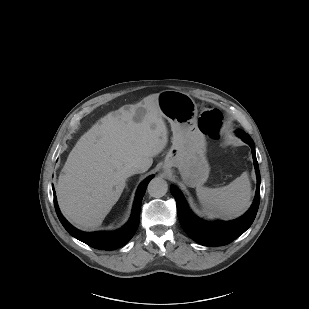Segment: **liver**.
Returning a JSON list of instances; mask_svg holds the SVG:
<instances>
[{
    "instance_id": "obj_1",
    "label": "liver",
    "mask_w": 309,
    "mask_h": 309,
    "mask_svg": "<svg viewBox=\"0 0 309 309\" xmlns=\"http://www.w3.org/2000/svg\"><path fill=\"white\" fill-rule=\"evenodd\" d=\"M139 109L145 113L135 121ZM167 142L158 94L101 118L78 140L59 176L56 194L63 215L80 229L98 228L120 198L127 171L136 165L147 171Z\"/></svg>"
}]
</instances>
